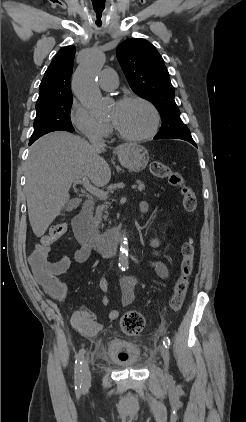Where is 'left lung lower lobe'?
<instances>
[{
  "label": "left lung lower lobe",
  "instance_id": "1",
  "mask_svg": "<svg viewBox=\"0 0 246 422\" xmlns=\"http://www.w3.org/2000/svg\"><path fill=\"white\" fill-rule=\"evenodd\" d=\"M154 139L156 140V139H161V138L154 137ZM179 139H182V140L188 141V142H190L191 144H193L194 146H196V144H195V142H194V140H193L192 138H179ZM196 147H197V146H196Z\"/></svg>",
  "mask_w": 246,
  "mask_h": 422
}]
</instances>
